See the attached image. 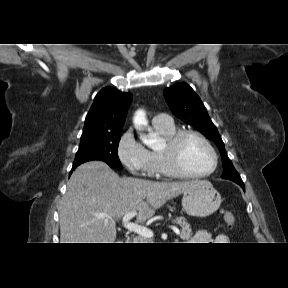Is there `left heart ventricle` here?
Returning a JSON list of instances; mask_svg holds the SVG:
<instances>
[{"label": "left heart ventricle", "mask_w": 288, "mask_h": 288, "mask_svg": "<svg viewBox=\"0 0 288 288\" xmlns=\"http://www.w3.org/2000/svg\"><path fill=\"white\" fill-rule=\"evenodd\" d=\"M180 160L187 171L195 174L208 172L214 163L210 150L194 137H189L182 143Z\"/></svg>", "instance_id": "1"}]
</instances>
